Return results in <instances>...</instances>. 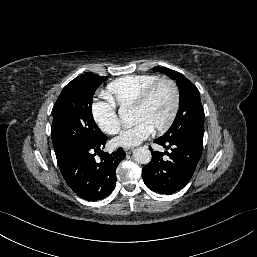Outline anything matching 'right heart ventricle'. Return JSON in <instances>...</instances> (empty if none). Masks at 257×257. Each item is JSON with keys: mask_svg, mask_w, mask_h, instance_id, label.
<instances>
[{"mask_svg": "<svg viewBox=\"0 0 257 257\" xmlns=\"http://www.w3.org/2000/svg\"><path fill=\"white\" fill-rule=\"evenodd\" d=\"M158 79V76L151 74L124 76L107 85L105 96L119 108H130L140 94Z\"/></svg>", "mask_w": 257, "mask_h": 257, "instance_id": "obj_1", "label": "right heart ventricle"}]
</instances>
